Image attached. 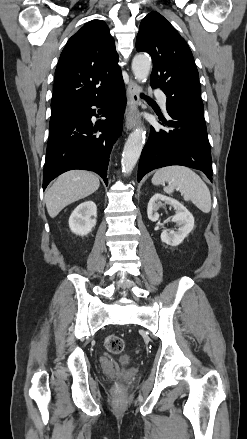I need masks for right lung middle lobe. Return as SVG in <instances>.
<instances>
[{
  "label": "right lung middle lobe",
  "instance_id": "dd1d6c3e",
  "mask_svg": "<svg viewBox=\"0 0 247 439\" xmlns=\"http://www.w3.org/2000/svg\"><path fill=\"white\" fill-rule=\"evenodd\" d=\"M63 112H59V113H52L51 115V119L56 118L57 116H59L60 114H62Z\"/></svg>",
  "mask_w": 247,
  "mask_h": 439
}]
</instances>
